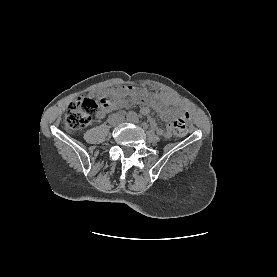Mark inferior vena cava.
I'll return each instance as SVG.
<instances>
[{
  "label": "inferior vena cava",
  "instance_id": "602c4592",
  "mask_svg": "<svg viewBox=\"0 0 277 277\" xmlns=\"http://www.w3.org/2000/svg\"><path fill=\"white\" fill-rule=\"evenodd\" d=\"M123 121H124V117H119V122H118V124L121 123V122H123Z\"/></svg>",
  "mask_w": 277,
  "mask_h": 277
}]
</instances>
